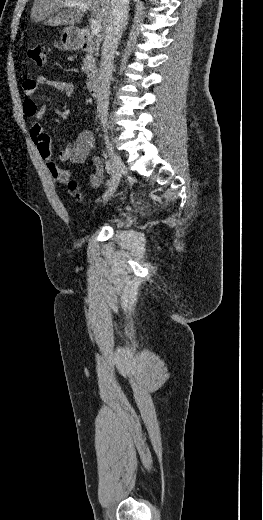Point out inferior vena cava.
<instances>
[{
  "label": "inferior vena cava",
  "mask_w": 263,
  "mask_h": 520,
  "mask_svg": "<svg viewBox=\"0 0 263 520\" xmlns=\"http://www.w3.org/2000/svg\"><path fill=\"white\" fill-rule=\"evenodd\" d=\"M112 5L110 22L104 35L97 86V113L104 131L107 126L114 53L127 23L129 0H112Z\"/></svg>",
  "instance_id": "inferior-vena-cava-1"
}]
</instances>
